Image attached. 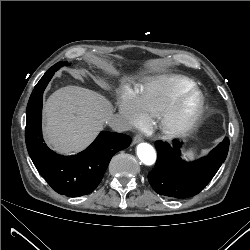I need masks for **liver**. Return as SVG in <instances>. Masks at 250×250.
I'll return each mask as SVG.
<instances>
[{
	"label": "liver",
	"instance_id": "liver-1",
	"mask_svg": "<svg viewBox=\"0 0 250 250\" xmlns=\"http://www.w3.org/2000/svg\"><path fill=\"white\" fill-rule=\"evenodd\" d=\"M112 111L110 102L95 91L62 87L44 106L46 142L61 154L76 153L94 140Z\"/></svg>",
	"mask_w": 250,
	"mask_h": 250
}]
</instances>
